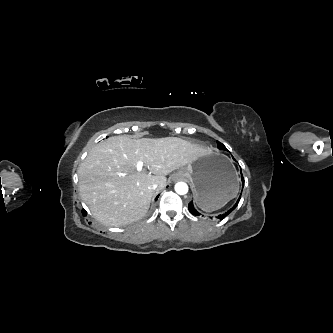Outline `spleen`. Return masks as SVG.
Returning a JSON list of instances; mask_svg holds the SVG:
<instances>
[{
    "mask_svg": "<svg viewBox=\"0 0 333 333\" xmlns=\"http://www.w3.org/2000/svg\"><path fill=\"white\" fill-rule=\"evenodd\" d=\"M238 189H239V186H237V190H236V192H235L233 198L237 195V193H238ZM224 205H225V204H224ZM224 205H222V206H218V207L213 208V209H206L205 211H214V210H217V209L223 207Z\"/></svg>",
    "mask_w": 333,
    "mask_h": 333,
    "instance_id": "obj_1",
    "label": "spleen"
}]
</instances>
